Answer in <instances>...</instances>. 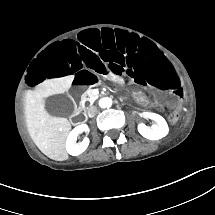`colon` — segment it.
I'll use <instances>...</instances> for the list:
<instances>
[{"instance_id": "colon-1", "label": "colon", "mask_w": 215, "mask_h": 215, "mask_svg": "<svg viewBox=\"0 0 215 215\" xmlns=\"http://www.w3.org/2000/svg\"><path fill=\"white\" fill-rule=\"evenodd\" d=\"M170 118H171V122H172L173 124H176V122H177V117H176V116H171Z\"/></svg>"}]
</instances>
